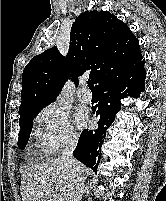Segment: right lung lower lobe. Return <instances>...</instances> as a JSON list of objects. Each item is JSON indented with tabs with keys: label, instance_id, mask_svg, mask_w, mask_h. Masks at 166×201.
<instances>
[{
	"label": "right lung lower lobe",
	"instance_id": "right-lung-lower-lobe-1",
	"mask_svg": "<svg viewBox=\"0 0 166 201\" xmlns=\"http://www.w3.org/2000/svg\"><path fill=\"white\" fill-rule=\"evenodd\" d=\"M146 72L144 60L115 72L107 74L96 86L99 103L93 108L96 116L100 115L98 129L84 130L79 138L73 156L96 172L101 155L102 142L106 130L113 123L116 113L120 110V99L126 96L138 98L145 90ZM97 108V109H96ZM99 148V150H98Z\"/></svg>",
	"mask_w": 166,
	"mask_h": 201
}]
</instances>
